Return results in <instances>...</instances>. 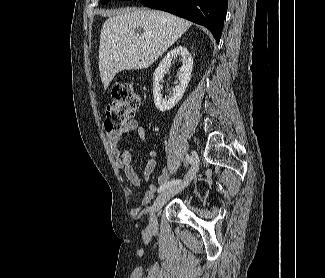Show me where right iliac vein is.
<instances>
[{"label":"right iliac vein","mask_w":325,"mask_h":278,"mask_svg":"<svg viewBox=\"0 0 325 278\" xmlns=\"http://www.w3.org/2000/svg\"><path fill=\"white\" fill-rule=\"evenodd\" d=\"M194 163L188 173L186 174L185 178L178 184L173 185L165 189L160 193V195L154 201L153 206L150 210V218H149V225L148 229L150 232H156L158 229L156 213L166 204V202L176 195L177 193L181 192L185 187L189 185L192 179L195 177L196 173L198 172V156L196 152H193Z\"/></svg>","instance_id":"63e3f726"}]
</instances>
